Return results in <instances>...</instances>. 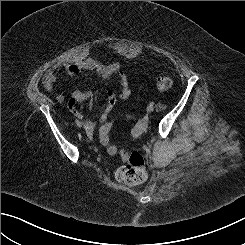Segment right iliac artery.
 Returning a JSON list of instances; mask_svg holds the SVG:
<instances>
[{
  "label": "right iliac artery",
  "mask_w": 245,
  "mask_h": 245,
  "mask_svg": "<svg viewBox=\"0 0 245 245\" xmlns=\"http://www.w3.org/2000/svg\"><path fill=\"white\" fill-rule=\"evenodd\" d=\"M77 126H79V124L81 123L78 119L75 120Z\"/></svg>",
  "instance_id": "obj_1"
}]
</instances>
